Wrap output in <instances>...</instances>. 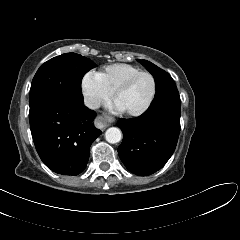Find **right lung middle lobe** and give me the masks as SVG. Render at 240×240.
<instances>
[{
  "instance_id": "1",
  "label": "right lung middle lobe",
  "mask_w": 240,
  "mask_h": 240,
  "mask_svg": "<svg viewBox=\"0 0 240 240\" xmlns=\"http://www.w3.org/2000/svg\"><path fill=\"white\" fill-rule=\"evenodd\" d=\"M93 67L90 59L76 53H65L45 62L31 84L30 110L55 98L83 99L81 81Z\"/></svg>"
}]
</instances>
